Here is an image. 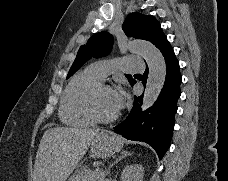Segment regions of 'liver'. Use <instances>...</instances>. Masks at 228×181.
Returning a JSON list of instances; mask_svg holds the SVG:
<instances>
[{"label":"liver","mask_w":228,"mask_h":181,"mask_svg":"<svg viewBox=\"0 0 228 181\" xmlns=\"http://www.w3.org/2000/svg\"><path fill=\"white\" fill-rule=\"evenodd\" d=\"M99 131L86 127L45 131L35 157L32 181H66Z\"/></svg>","instance_id":"6515ba94"}]
</instances>
